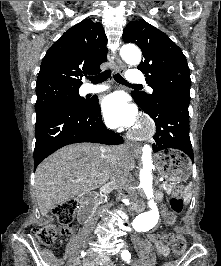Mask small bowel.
I'll list each match as a JSON object with an SVG mask.
<instances>
[{"label": "small bowel", "mask_w": 221, "mask_h": 266, "mask_svg": "<svg viewBox=\"0 0 221 266\" xmlns=\"http://www.w3.org/2000/svg\"><path fill=\"white\" fill-rule=\"evenodd\" d=\"M176 231H182V227H177ZM148 237L155 244L156 250L160 255L168 256L169 248L167 243L162 244L155 234H150ZM86 266H114V264L108 256L99 255L88 258L86 261Z\"/></svg>", "instance_id": "1"}]
</instances>
